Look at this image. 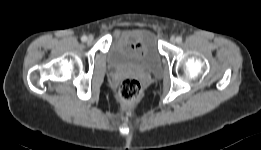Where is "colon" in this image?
<instances>
[{
  "instance_id": "1",
  "label": "colon",
  "mask_w": 261,
  "mask_h": 150,
  "mask_svg": "<svg viewBox=\"0 0 261 150\" xmlns=\"http://www.w3.org/2000/svg\"><path fill=\"white\" fill-rule=\"evenodd\" d=\"M142 95V86L138 79L134 77L125 78L119 87V99L125 107L136 104Z\"/></svg>"
}]
</instances>
